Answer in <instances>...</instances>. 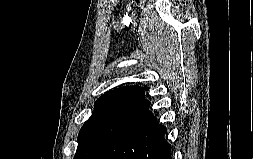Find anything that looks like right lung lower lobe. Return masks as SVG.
Listing matches in <instances>:
<instances>
[{
	"mask_svg": "<svg viewBox=\"0 0 253 159\" xmlns=\"http://www.w3.org/2000/svg\"><path fill=\"white\" fill-rule=\"evenodd\" d=\"M166 130L151 113L144 121L104 146L90 159H172L171 145L164 140Z\"/></svg>",
	"mask_w": 253,
	"mask_h": 159,
	"instance_id": "right-lung-lower-lobe-1",
	"label": "right lung lower lobe"
}]
</instances>
